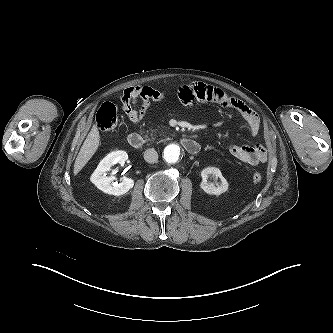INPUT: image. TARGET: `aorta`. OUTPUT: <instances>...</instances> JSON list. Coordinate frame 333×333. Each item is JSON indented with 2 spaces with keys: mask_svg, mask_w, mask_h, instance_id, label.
<instances>
[{
  "mask_svg": "<svg viewBox=\"0 0 333 333\" xmlns=\"http://www.w3.org/2000/svg\"><path fill=\"white\" fill-rule=\"evenodd\" d=\"M181 148L177 144H169L165 147L163 158L168 163H176L180 159Z\"/></svg>",
  "mask_w": 333,
  "mask_h": 333,
  "instance_id": "obj_1",
  "label": "aorta"
}]
</instances>
